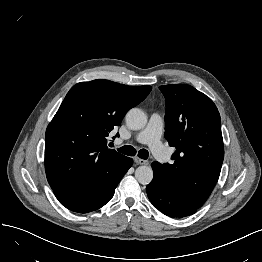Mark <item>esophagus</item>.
<instances>
[{"instance_id":"34e87169","label":"esophagus","mask_w":262,"mask_h":262,"mask_svg":"<svg viewBox=\"0 0 262 262\" xmlns=\"http://www.w3.org/2000/svg\"><path fill=\"white\" fill-rule=\"evenodd\" d=\"M134 162H135L136 164H139V165H145V164L148 163L147 160H144V159H141V158H138V157H135V158H134Z\"/></svg>"}]
</instances>
